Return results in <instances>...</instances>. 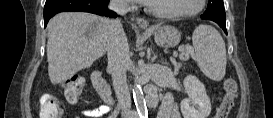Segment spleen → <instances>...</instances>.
I'll use <instances>...</instances> for the list:
<instances>
[{"label":"spleen","mask_w":273,"mask_h":118,"mask_svg":"<svg viewBox=\"0 0 273 118\" xmlns=\"http://www.w3.org/2000/svg\"><path fill=\"white\" fill-rule=\"evenodd\" d=\"M196 61L208 78L221 81L226 71V48L220 33L208 25L198 26L192 35Z\"/></svg>","instance_id":"spleen-1"}]
</instances>
